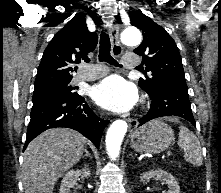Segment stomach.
<instances>
[{
  "mask_svg": "<svg viewBox=\"0 0 221 193\" xmlns=\"http://www.w3.org/2000/svg\"><path fill=\"white\" fill-rule=\"evenodd\" d=\"M174 140L172 128L163 120H152L130 135L131 148L139 153H160Z\"/></svg>",
  "mask_w": 221,
  "mask_h": 193,
  "instance_id": "0dacf381",
  "label": "stomach"
}]
</instances>
